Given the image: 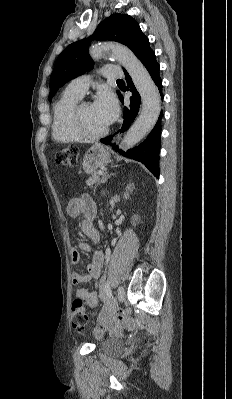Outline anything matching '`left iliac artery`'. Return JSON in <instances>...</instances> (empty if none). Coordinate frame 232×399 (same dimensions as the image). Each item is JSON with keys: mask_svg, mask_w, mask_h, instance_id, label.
<instances>
[{"mask_svg": "<svg viewBox=\"0 0 232 399\" xmlns=\"http://www.w3.org/2000/svg\"><path fill=\"white\" fill-rule=\"evenodd\" d=\"M106 285L109 286V285H110V282H107Z\"/></svg>", "mask_w": 232, "mask_h": 399, "instance_id": "1", "label": "left iliac artery"}]
</instances>
